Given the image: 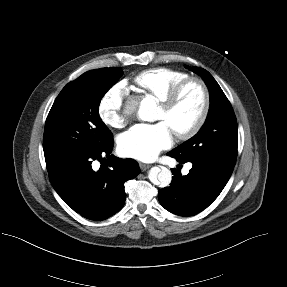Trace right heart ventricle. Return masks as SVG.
<instances>
[{"instance_id":"right-heart-ventricle-1","label":"right heart ventricle","mask_w":287,"mask_h":287,"mask_svg":"<svg viewBox=\"0 0 287 287\" xmlns=\"http://www.w3.org/2000/svg\"><path fill=\"white\" fill-rule=\"evenodd\" d=\"M188 77L187 73L180 70L155 68L136 75L134 84L140 91L162 101L179 82Z\"/></svg>"}]
</instances>
